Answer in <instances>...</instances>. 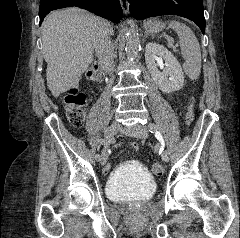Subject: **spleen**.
Returning <instances> with one entry per match:
<instances>
[{"label":"spleen","instance_id":"spleen-1","mask_svg":"<svg viewBox=\"0 0 240 238\" xmlns=\"http://www.w3.org/2000/svg\"><path fill=\"white\" fill-rule=\"evenodd\" d=\"M169 27L179 37L181 53L185 59L183 64L185 73L190 79H197L201 71V50L195 34L189 27L178 21H171Z\"/></svg>","mask_w":240,"mask_h":238}]
</instances>
